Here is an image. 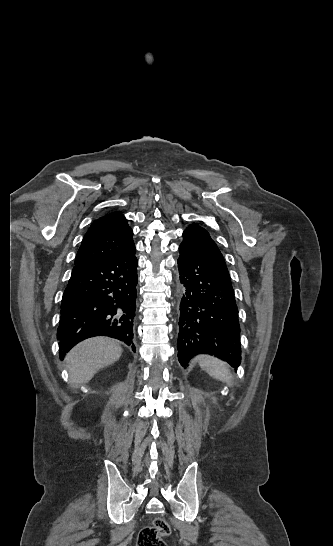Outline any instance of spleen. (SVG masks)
<instances>
[{
  "label": "spleen",
  "instance_id": "obj_1",
  "mask_svg": "<svg viewBox=\"0 0 333 546\" xmlns=\"http://www.w3.org/2000/svg\"><path fill=\"white\" fill-rule=\"evenodd\" d=\"M200 367L211 377L222 382L231 383V376L225 362L211 356H199L197 358Z\"/></svg>",
  "mask_w": 333,
  "mask_h": 546
}]
</instances>
